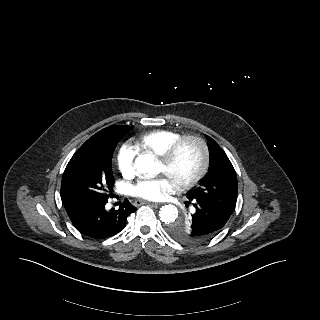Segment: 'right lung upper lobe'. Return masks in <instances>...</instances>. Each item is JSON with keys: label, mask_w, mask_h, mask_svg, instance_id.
<instances>
[{"label": "right lung upper lobe", "mask_w": 320, "mask_h": 320, "mask_svg": "<svg viewBox=\"0 0 320 320\" xmlns=\"http://www.w3.org/2000/svg\"><path fill=\"white\" fill-rule=\"evenodd\" d=\"M133 126H118V125H111L105 129H102V131H122V130H131Z\"/></svg>", "instance_id": "right-lung-upper-lobe-1"}]
</instances>
